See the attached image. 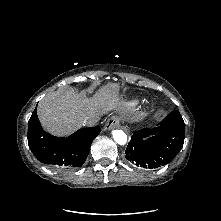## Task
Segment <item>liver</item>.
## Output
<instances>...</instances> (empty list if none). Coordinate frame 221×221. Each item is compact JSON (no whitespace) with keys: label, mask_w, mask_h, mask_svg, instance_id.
Listing matches in <instances>:
<instances>
[{"label":"liver","mask_w":221,"mask_h":221,"mask_svg":"<svg viewBox=\"0 0 221 221\" xmlns=\"http://www.w3.org/2000/svg\"><path fill=\"white\" fill-rule=\"evenodd\" d=\"M119 86L102 87L93 97L79 96L72 87H60L38 104V118L43 128L56 136H66L81 128L86 117L112 111L118 101Z\"/></svg>","instance_id":"liver-1"}]
</instances>
